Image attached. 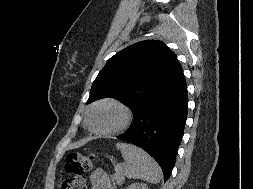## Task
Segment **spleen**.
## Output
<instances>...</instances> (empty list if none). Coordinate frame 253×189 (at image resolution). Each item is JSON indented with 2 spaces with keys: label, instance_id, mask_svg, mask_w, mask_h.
I'll use <instances>...</instances> for the list:
<instances>
[{
  "label": "spleen",
  "instance_id": "obj_1",
  "mask_svg": "<svg viewBox=\"0 0 253 189\" xmlns=\"http://www.w3.org/2000/svg\"><path fill=\"white\" fill-rule=\"evenodd\" d=\"M127 164L122 168L128 178L141 179L157 184L162 177V170L157 162L144 150L132 144H116Z\"/></svg>",
  "mask_w": 253,
  "mask_h": 189
}]
</instances>
